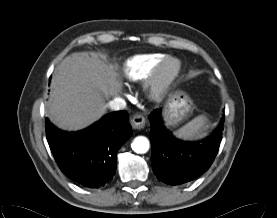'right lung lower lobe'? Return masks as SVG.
Segmentation results:
<instances>
[{
  "label": "right lung lower lobe",
  "instance_id": "right-lung-lower-lobe-1",
  "mask_svg": "<svg viewBox=\"0 0 277 218\" xmlns=\"http://www.w3.org/2000/svg\"><path fill=\"white\" fill-rule=\"evenodd\" d=\"M126 111L113 112L87 129L64 132L46 120L50 149L61 171L88 188L104 186L116 172V155L131 137Z\"/></svg>",
  "mask_w": 277,
  "mask_h": 218
}]
</instances>
